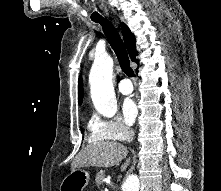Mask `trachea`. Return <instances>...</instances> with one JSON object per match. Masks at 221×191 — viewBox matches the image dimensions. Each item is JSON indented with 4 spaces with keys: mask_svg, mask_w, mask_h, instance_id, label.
Returning a JSON list of instances; mask_svg holds the SVG:
<instances>
[{
    "mask_svg": "<svg viewBox=\"0 0 221 191\" xmlns=\"http://www.w3.org/2000/svg\"><path fill=\"white\" fill-rule=\"evenodd\" d=\"M96 23H100L103 31L111 45V47L113 48L120 67L122 69V71L129 77H134L135 74L130 66V61H129V57H128V53L126 51V48L122 42V39L120 37V35L118 34L117 30L113 27V25L111 24V22H109L107 19L105 18H99L97 20H94Z\"/></svg>",
    "mask_w": 221,
    "mask_h": 191,
    "instance_id": "obj_1",
    "label": "trachea"
}]
</instances>
